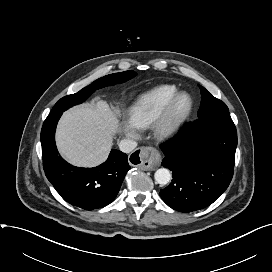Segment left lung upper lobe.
<instances>
[{"label":"left lung upper lobe","mask_w":272,"mask_h":272,"mask_svg":"<svg viewBox=\"0 0 272 272\" xmlns=\"http://www.w3.org/2000/svg\"><path fill=\"white\" fill-rule=\"evenodd\" d=\"M201 90V106L198 111V118L220 112H229L228 107L224 102L215 98L205 88L200 87Z\"/></svg>","instance_id":"5c2ea615"}]
</instances>
